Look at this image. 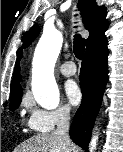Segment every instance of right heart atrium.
Here are the masks:
<instances>
[{
	"label": "right heart atrium",
	"instance_id": "d8ad5b80",
	"mask_svg": "<svg viewBox=\"0 0 123 152\" xmlns=\"http://www.w3.org/2000/svg\"><path fill=\"white\" fill-rule=\"evenodd\" d=\"M26 105L29 109L28 125L37 132H49L57 125L68 121L71 117V110L67 106L46 110L36 107L30 101Z\"/></svg>",
	"mask_w": 123,
	"mask_h": 152
}]
</instances>
